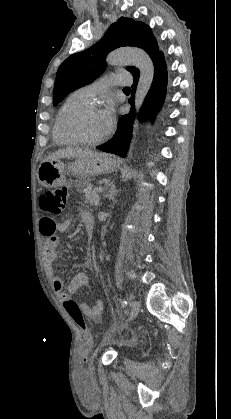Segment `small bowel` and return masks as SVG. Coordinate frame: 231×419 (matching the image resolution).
Segmentation results:
<instances>
[{
	"instance_id": "small-bowel-1",
	"label": "small bowel",
	"mask_w": 231,
	"mask_h": 419,
	"mask_svg": "<svg viewBox=\"0 0 231 419\" xmlns=\"http://www.w3.org/2000/svg\"><path fill=\"white\" fill-rule=\"evenodd\" d=\"M80 219L86 228L88 237L90 238L94 225L93 216L90 212L81 210ZM71 224L72 219L69 218L57 223L50 217H44L39 222L40 233L47 238L45 242V260L51 276L52 288L57 295L64 300V302L71 299L79 289L86 286L89 282L88 275L85 272H78L73 276L67 286V289L65 290L63 280L55 274L53 269V264L57 259L58 246L60 243V239L55 233L66 232L71 227ZM77 305L82 315L90 319L99 318L104 309V303L102 300L95 301L92 306L85 303H77Z\"/></svg>"
}]
</instances>
